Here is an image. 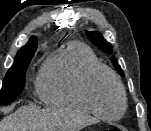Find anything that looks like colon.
<instances>
[{"instance_id":"obj_1","label":"colon","mask_w":151,"mask_h":131,"mask_svg":"<svg viewBox=\"0 0 151 131\" xmlns=\"http://www.w3.org/2000/svg\"><path fill=\"white\" fill-rule=\"evenodd\" d=\"M102 131H126V130H124L123 128H119V127L114 126V127L104 129Z\"/></svg>"}]
</instances>
